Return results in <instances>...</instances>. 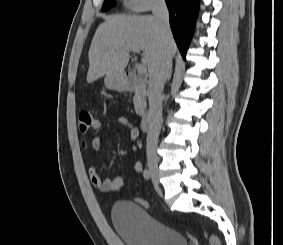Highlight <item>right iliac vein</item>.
Segmentation results:
<instances>
[{"label":"right iliac vein","mask_w":283,"mask_h":245,"mask_svg":"<svg viewBox=\"0 0 283 245\" xmlns=\"http://www.w3.org/2000/svg\"><path fill=\"white\" fill-rule=\"evenodd\" d=\"M148 167L151 174V177L156 185L159 184V172H158V164L157 160L154 158L148 159Z\"/></svg>","instance_id":"obj_1"}]
</instances>
